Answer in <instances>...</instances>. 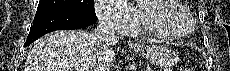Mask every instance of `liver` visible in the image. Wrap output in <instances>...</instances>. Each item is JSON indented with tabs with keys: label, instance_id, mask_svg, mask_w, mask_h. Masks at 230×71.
I'll return each instance as SVG.
<instances>
[{
	"label": "liver",
	"instance_id": "1",
	"mask_svg": "<svg viewBox=\"0 0 230 71\" xmlns=\"http://www.w3.org/2000/svg\"><path fill=\"white\" fill-rule=\"evenodd\" d=\"M109 45L88 32L50 33L34 42L25 71H109L115 61Z\"/></svg>",
	"mask_w": 230,
	"mask_h": 71
}]
</instances>
